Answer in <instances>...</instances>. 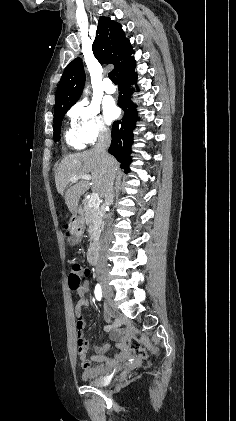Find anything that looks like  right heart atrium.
<instances>
[{
  "label": "right heart atrium",
  "mask_w": 236,
  "mask_h": 421,
  "mask_svg": "<svg viewBox=\"0 0 236 421\" xmlns=\"http://www.w3.org/2000/svg\"><path fill=\"white\" fill-rule=\"evenodd\" d=\"M72 128L86 144H94L107 137L110 129L98 105L86 100L78 102L70 111Z\"/></svg>",
  "instance_id": "d8ad5b80"
}]
</instances>
